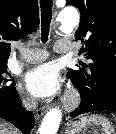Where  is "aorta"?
I'll return each instance as SVG.
<instances>
[{
  "instance_id": "1",
  "label": "aorta",
  "mask_w": 116,
  "mask_h": 134,
  "mask_svg": "<svg viewBox=\"0 0 116 134\" xmlns=\"http://www.w3.org/2000/svg\"><path fill=\"white\" fill-rule=\"evenodd\" d=\"M60 29L73 28L79 21V14L73 7L65 8L59 18ZM61 111L58 108L51 109L44 117L39 134H56L61 122Z\"/></svg>"
}]
</instances>
